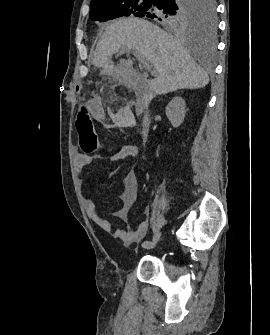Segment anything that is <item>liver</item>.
I'll list each match as a JSON object with an SVG mask.
<instances>
[{
	"label": "liver",
	"mask_w": 270,
	"mask_h": 335,
	"mask_svg": "<svg viewBox=\"0 0 270 335\" xmlns=\"http://www.w3.org/2000/svg\"><path fill=\"white\" fill-rule=\"evenodd\" d=\"M136 50L154 66L155 80H147L150 96L168 94L175 90H196L209 82L207 72L195 64L179 38L167 34L143 18H119L106 28L92 60L96 68L123 74L133 62L127 60L119 66H109L113 54Z\"/></svg>",
	"instance_id": "obj_1"
}]
</instances>
